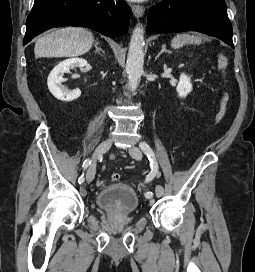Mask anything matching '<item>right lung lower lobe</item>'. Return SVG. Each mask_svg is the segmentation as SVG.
Returning a JSON list of instances; mask_svg holds the SVG:
<instances>
[{"label":"right lung lower lobe","mask_w":255,"mask_h":272,"mask_svg":"<svg viewBox=\"0 0 255 272\" xmlns=\"http://www.w3.org/2000/svg\"><path fill=\"white\" fill-rule=\"evenodd\" d=\"M131 9L123 0H35L26 20V45L40 33L62 26L87 27L108 37L128 31Z\"/></svg>","instance_id":"1"}]
</instances>
